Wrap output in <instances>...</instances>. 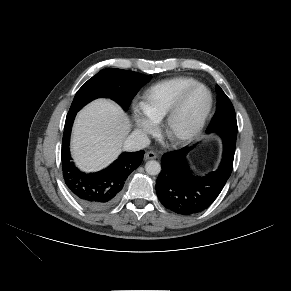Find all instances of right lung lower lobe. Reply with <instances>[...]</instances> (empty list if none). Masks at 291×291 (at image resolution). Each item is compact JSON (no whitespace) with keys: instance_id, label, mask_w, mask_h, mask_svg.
<instances>
[{"instance_id":"98d812e1","label":"right lung lower lobe","mask_w":291,"mask_h":291,"mask_svg":"<svg viewBox=\"0 0 291 291\" xmlns=\"http://www.w3.org/2000/svg\"><path fill=\"white\" fill-rule=\"evenodd\" d=\"M76 113H68L65 121L61 151L63 177L71 193L83 206L92 211H101L117 201L126 178L141 164L145 152H124L112 165L100 172H81L71 161L69 150Z\"/></svg>"}]
</instances>
